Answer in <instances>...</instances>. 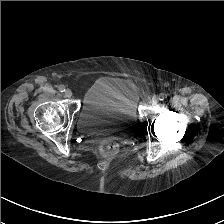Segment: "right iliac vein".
Returning a JSON list of instances; mask_svg holds the SVG:
<instances>
[{"instance_id":"1","label":"right iliac vein","mask_w":224,"mask_h":224,"mask_svg":"<svg viewBox=\"0 0 224 224\" xmlns=\"http://www.w3.org/2000/svg\"><path fill=\"white\" fill-rule=\"evenodd\" d=\"M64 94H65L66 97L70 98L73 93H72V91L70 89H67V90H65Z\"/></svg>"}]
</instances>
